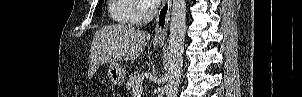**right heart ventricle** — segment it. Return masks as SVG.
Returning a JSON list of instances; mask_svg holds the SVG:
<instances>
[{
  "label": "right heart ventricle",
  "instance_id": "obj_1",
  "mask_svg": "<svg viewBox=\"0 0 302 97\" xmlns=\"http://www.w3.org/2000/svg\"><path fill=\"white\" fill-rule=\"evenodd\" d=\"M137 7L138 3L135 0H111L108 11L116 24L130 27L137 24Z\"/></svg>",
  "mask_w": 302,
  "mask_h": 97
}]
</instances>
